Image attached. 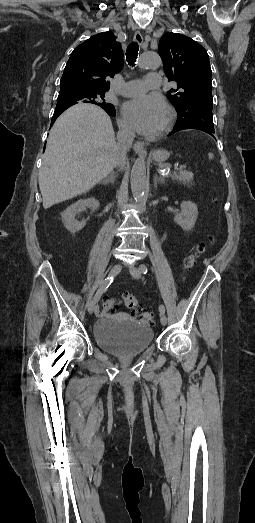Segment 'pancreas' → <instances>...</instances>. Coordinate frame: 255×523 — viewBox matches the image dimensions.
I'll return each mask as SVG.
<instances>
[{"mask_svg":"<svg viewBox=\"0 0 255 523\" xmlns=\"http://www.w3.org/2000/svg\"><path fill=\"white\" fill-rule=\"evenodd\" d=\"M192 178L193 174H191V172H188V174H179V176H175V180H182L183 184H191Z\"/></svg>","mask_w":255,"mask_h":523,"instance_id":"cf45deb5","label":"pancreas"}]
</instances>
